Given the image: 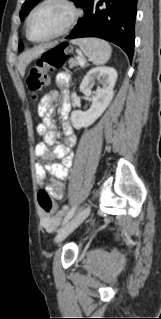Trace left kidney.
Segmentation results:
<instances>
[{"label":"left kidney","mask_w":161,"mask_h":319,"mask_svg":"<svg viewBox=\"0 0 161 319\" xmlns=\"http://www.w3.org/2000/svg\"><path fill=\"white\" fill-rule=\"evenodd\" d=\"M116 80L117 72L112 67H95L86 74L80 84V90L90 97L92 105L85 112L75 110L71 113V123L75 129L90 126L103 114L114 96ZM95 81L102 87L92 92L91 87Z\"/></svg>","instance_id":"obj_1"}]
</instances>
